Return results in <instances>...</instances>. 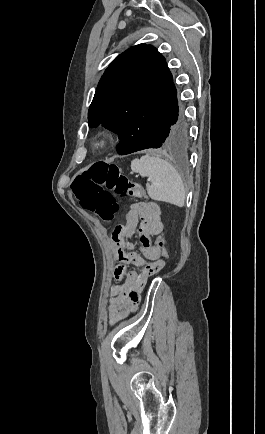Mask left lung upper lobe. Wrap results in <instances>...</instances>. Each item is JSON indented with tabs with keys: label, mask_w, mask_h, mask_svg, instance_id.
I'll list each match as a JSON object with an SVG mask.
<instances>
[{
	"label": "left lung upper lobe",
	"mask_w": 265,
	"mask_h": 434,
	"mask_svg": "<svg viewBox=\"0 0 265 434\" xmlns=\"http://www.w3.org/2000/svg\"><path fill=\"white\" fill-rule=\"evenodd\" d=\"M177 103V91L165 58L139 44L107 68L89 107V127L102 124L120 140L159 126Z\"/></svg>",
	"instance_id": "5c2ea615"
}]
</instances>
